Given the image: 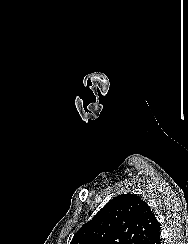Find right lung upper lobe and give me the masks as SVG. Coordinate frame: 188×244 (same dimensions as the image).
Masks as SVG:
<instances>
[{"label": "right lung upper lobe", "mask_w": 188, "mask_h": 244, "mask_svg": "<svg viewBox=\"0 0 188 244\" xmlns=\"http://www.w3.org/2000/svg\"><path fill=\"white\" fill-rule=\"evenodd\" d=\"M158 228L145 201L134 194H122L83 225L70 244H147Z\"/></svg>", "instance_id": "obj_1"}]
</instances>
